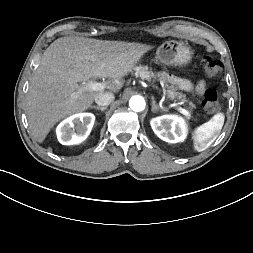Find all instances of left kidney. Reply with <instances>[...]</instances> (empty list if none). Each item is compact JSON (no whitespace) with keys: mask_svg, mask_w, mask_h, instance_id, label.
I'll use <instances>...</instances> for the list:
<instances>
[{"mask_svg":"<svg viewBox=\"0 0 253 253\" xmlns=\"http://www.w3.org/2000/svg\"><path fill=\"white\" fill-rule=\"evenodd\" d=\"M154 133L169 143L182 142L187 135V126L183 118L176 115H163L150 121Z\"/></svg>","mask_w":253,"mask_h":253,"instance_id":"obj_1","label":"left kidney"}]
</instances>
